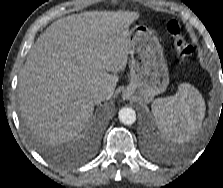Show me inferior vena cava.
I'll return each mask as SVG.
<instances>
[{
	"instance_id": "1",
	"label": "inferior vena cava",
	"mask_w": 223,
	"mask_h": 188,
	"mask_svg": "<svg viewBox=\"0 0 223 188\" xmlns=\"http://www.w3.org/2000/svg\"><path fill=\"white\" fill-rule=\"evenodd\" d=\"M91 98L94 104H99L108 98V93L106 90H94L91 93Z\"/></svg>"
}]
</instances>
